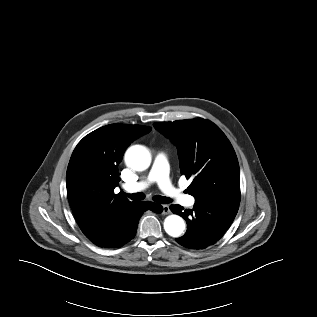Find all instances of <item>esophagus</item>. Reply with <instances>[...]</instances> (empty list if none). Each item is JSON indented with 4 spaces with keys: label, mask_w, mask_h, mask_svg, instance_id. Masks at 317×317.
Masks as SVG:
<instances>
[{
    "label": "esophagus",
    "mask_w": 317,
    "mask_h": 317,
    "mask_svg": "<svg viewBox=\"0 0 317 317\" xmlns=\"http://www.w3.org/2000/svg\"><path fill=\"white\" fill-rule=\"evenodd\" d=\"M170 213V208L168 205H163L162 206V214L166 215Z\"/></svg>",
    "instance_id": "1"
}]
</instances>
